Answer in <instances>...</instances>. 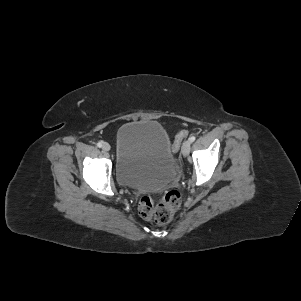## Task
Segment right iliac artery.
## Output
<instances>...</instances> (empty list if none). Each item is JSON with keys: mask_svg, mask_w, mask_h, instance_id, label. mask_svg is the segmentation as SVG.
<instances>
[{"mask_svg": "<svg viewBox=\"0 0 301 301\" xmlns=\"http://www.w3.org/2000/svg\"><path fill=\"white\" fill-rule=\"evenodd\" d=\"M97 147L101 148L102 147V142H98Z\"/></svg>", "mask_w": 301, "mask_h": 301, "instance_id": "82829eb1", "label": "right iliac artery"}]
</instances>
